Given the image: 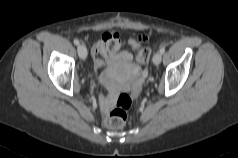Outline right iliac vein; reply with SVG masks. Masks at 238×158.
Masks as SVG:
<instances>
[{"label": "right iliac vein", "mask_w": 238, "mask_h": 158, "mask_svg": "<svg viewBox=\"0 0 238 158\" xmlns=\"http://www.w3.org/2000/svg\"><path fill=\"white\" fill-rule=\"evenodd\" d=\"M77 51H78V55L81 59L84 60L87 58L88 52H87V48L85 45H83V44L78 45Z\"/></svg>", "instance_id": "right-iliac-vein-1"}]
</instances>
